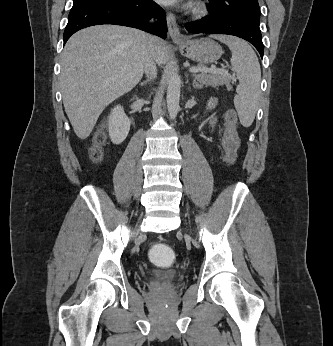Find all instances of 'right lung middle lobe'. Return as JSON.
Wrapping results in <instances>:
<instances>
[{
  "instance_id": "dd1d6c3e",
  "label": "right lung middle lobe",
  "mask_w": 333,
  "mask_h": 346,
  "mask_svg": "<svg viewBox=\"0 0 333 346\" xmlns=\"http://www.w3.org/2000/svg\"><path fill=\"white\" fill-rule=\"evenodd\" d=\"M83 1H86V0H73V5L80 3V2H83Z\"/></svg>"
}]
</instances>
